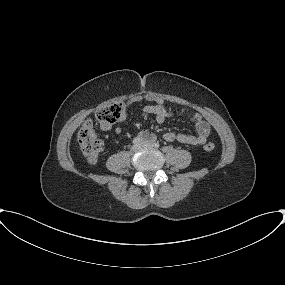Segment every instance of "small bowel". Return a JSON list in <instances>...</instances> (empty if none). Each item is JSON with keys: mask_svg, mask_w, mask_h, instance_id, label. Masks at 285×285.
I'll return each mask as SVG.
<instances>
[{"mask_svg": "<svg viewBox=\"0 0 285 285\" xmlns=\"http://www.w3.org/2000/svg\"><path fill=\"white\" fill-rule=\"evenodd\" d=\"M143 100L148 101L149 104L143 107L142 112L146 115L154 116L155 121L158 124L164 123L165 120L172 115V112L164 106L163 100L153 94H145V95L131 97L125 102L124 106L125 108H128L130 105L138 103ZM125 118H126V113L123 114L120 122H123ZM195 127H196L195 135L187 134V133H176V132L169 131V132L164 133L163 138L165 141H168V142L178 141L186 145H202L208 139V136L211 130L210 125L203 118L196 117ZM101 128L103 130H108L110 129V125L101 124ZM115 132L116 134H120L121 127L117 126L115 128ZM137 137H139L141 140H149V141L155 140V135L147 130L141 131L137 135Z\"/></svg>", "mask_w": 285, "mask_h": 285, "instance_id": "1", "label": "small bowel"}]
</instances>
